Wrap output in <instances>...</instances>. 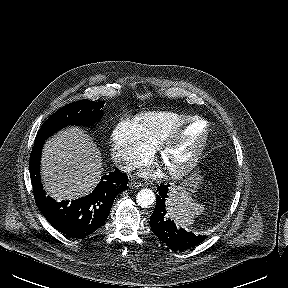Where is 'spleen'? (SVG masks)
<instances>
[{
	"mask_svg": "<svg viewBox=\"0 0 288 288\" xmlns=\"http://www.w3.org/2000/svg\"><path fill=\"white\" fill-rule=\"evenodd\" d=\"M166 205L168 210L167 217L183 228L193 224L196 215L201 214L204 209L191 196L177 193L173 188L170 190Z\"/></svg>",
	"mask_w": 288,
	"mask_h": 288,
	"instance_id": "1",
	"label": "spleen"
}]
</instances>
